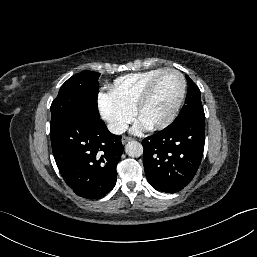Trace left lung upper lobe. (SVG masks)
<instances>
[{"label": "left lung upper lobe", "instance_id": "obj_1", "mask_svg": "<svg viewBox=\"0 0 257 257\" xmlns=\"http://www.w3.org/2000/svg\"><path fill=\"white\" fill-rule=\"evenodd\" d=\"M186 79L188 83V92L185 100V105L182 107L179 115L174 120V122H178L188 118L205 119L200 90L197 85L189 78L188 75H186Z\"/></svg>", "mask_w": 257, "mask_h": 257}]
</instances>
